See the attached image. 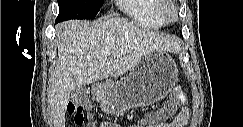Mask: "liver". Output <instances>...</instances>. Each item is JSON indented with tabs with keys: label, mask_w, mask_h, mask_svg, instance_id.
I'll use <instances>...</instances> for the list:
<instances>
[{
	"label": "liver",
	"mask_w": 243,
	"mask_h": 127,
	"mask_svg": "<svg viewBox=\"0 0 243 127\" xmlns=\"http://www.w3.org/2000/svg\"><path fill=\"white\" fill-rule=\"evenodd\" d=\"M56 34L58 59L48 100L54 127H65L66 107L76 88L119 77L153 52L181 49L175 36L141 28L125 18H104L93 24L66 21L56 26ZM105 50L111 54L105 55Z\"/></svg>",
	"instance_id": "1"
}]
</instances>
